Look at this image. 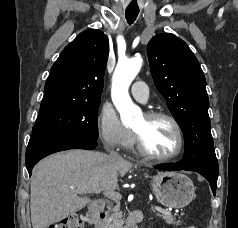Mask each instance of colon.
<instances>
[{
  "instance_id": "5ec220e1",
  "label": "colon",
  "mask_w": 238,
  "mask_h": 228,
  "mask_svg": "<svg viewBox=\"0 0 238 228\" xmlns=\"http://www.w3.org/2000/svg\"><path fill=\"white\" fill-rule=\"evenodd\" d=\"M85 218L81 215H72L59 222L50 225L48 228H82ZM183 228H198L196 226H186Z\"/></svg>"
}]
</instances>
